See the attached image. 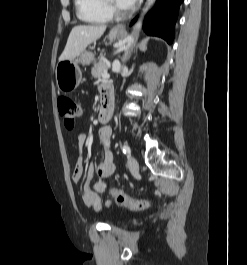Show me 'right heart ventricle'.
<instances>
[{"label":"right heart ventricle","instance_id":"obj_1","mask_svg":"<svg viewBox=\"0 0 247 265\" xmlns=\"http://www.w3.org/2000/svg\"><path fill=\"white\" fill-rule=\"evenodd\" d=\"M78 17L88 23H107L112 14L106 0H75Z\"/></svg>","mask_w":247,"mask_h":265}]
</instances>
